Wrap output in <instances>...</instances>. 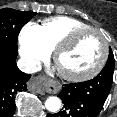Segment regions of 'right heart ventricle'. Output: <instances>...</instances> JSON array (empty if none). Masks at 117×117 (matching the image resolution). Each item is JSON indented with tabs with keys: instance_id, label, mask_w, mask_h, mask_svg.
Instances as JSON below:
<instances>
[{
	"instance_id": "right-heart-ventricle-1",
	"label": "right heart ventricle",
	"mask_w": 117,
	"mask_h": 117,
	"mask_svg": "<svg viewBox=\"0 0 117 117\" xmlns=\"http://www.w3.org/2000/svg\"><path fill=\"white\" fill-rule=\"evenodd\" d=\"M84 27L90 26L79 19L69 16L51 17L45 19L39 25L41 38L50 50H53L69 32Z\"/></svg>"
}]
</instances>
